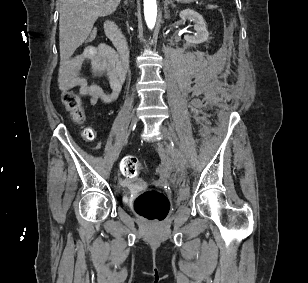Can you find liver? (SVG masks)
Here are the masks:
<instances>
[{"mask_svg":"<svg viewBox=\"0 0 308 283\" xmlns=\"http://www.w3.org/2000/svg\"><path fill=\"white\" fill-rule=\"evenodd\" d=\"M120 0H59V46L62 62L88 38L95 21L113 13Z\"/></svg>","mask_w":308,"mask_h":283,"instance_id":"obj_1","label":"liver"}]
</instances>
